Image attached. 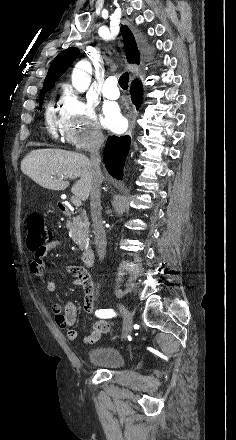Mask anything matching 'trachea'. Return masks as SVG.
Returning <instances> with one entry per match:
<instances>
[{
	"label": "trachea",
	"mask_w": 236,
	"mask_h": 440,
	"mask_svg": "<svg viewBox=\"0 0 236 440\" xmlns=\"http://www.w3.org/2000/svg\"><path fill=\"white\" fill-rule=\"evenodd\" d=\"M128 82H129V73L125 72L119 78V85L122 89H127Z\"/></svg>",
	"instance_id": "1"
}]
</instances>
